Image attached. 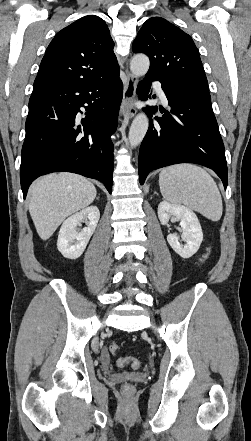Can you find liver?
<instances>
[{"mask_svg":"<svg viewBox=\"0 0 251 441\" xmlns=\"http://www.w3.org/2000/svg\"><path fill=\"white\" fill-rule=\"evenodd\" d=\"M97 191L93 183L72 173L39 178L29 190V212L42 240H48L71 214L90 205Z\"/></svg>","mask_w":251,"mask_h":441,"instance_id":"6515ba94","label":"liver"}]
</instances>
